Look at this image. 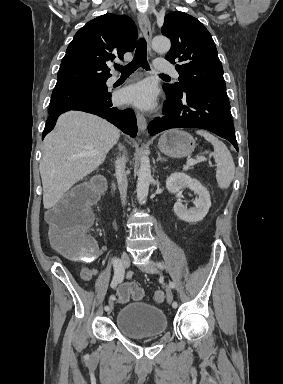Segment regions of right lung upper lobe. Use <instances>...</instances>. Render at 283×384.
Wrapping results in <instances>:
<instances>
[{"label":"right lung upper lobe","instance_id":"1","mask_svg":"<svg viewBox=\"0 0 283 384\" xmlns=\"http://www.w3.org/2000/svg\"><path fill=\"white\" fill-rule=\"evenodd\" d=\"M136 38L134 22L125 15L108 13L89 21L69 44L54 89L106 82L108 65L132 51Z\"/></svg>","mask_w":283,"mask_h":384}]
</instances>
